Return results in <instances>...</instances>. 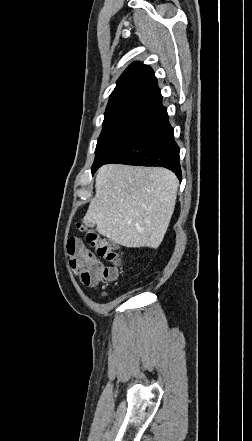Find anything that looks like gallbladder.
Listing matches in <instances>:
<instances>
[{"label":"gallbladder","instance_id":"bac80fb5","mask_svg":"<svg viewBox=\"0 0 252 441\" xmlns=\"http://www.w3.org/2000/svg\"><path fill=\"white\" fill-rule=\"evenodd\" d=\"M87 227L93 228L95 226L94 223L85 222Z\"/></svg>","mask_w":252,"mask_h":441}]
</instances>
